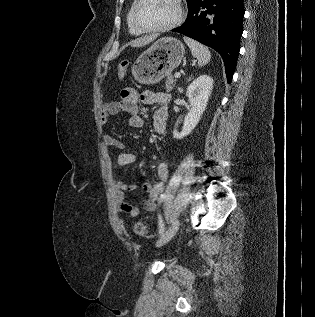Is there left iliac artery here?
Segmentation results:
<instances>
[{
    "label": "left iliac artery",
    "mask_w": 315,
    "mask_h": 317,
    "mask_svg": "<svg viewBox=\"0 0 315 317\" xmlns=\"http://www.w3.org/2000/svg\"><path fill=\"white\" fill-rule=\"evenodd\" d=\"M166 198V194H163L160 198V203ZM164 231V224L163 220L161 218V215H159V234H162Z\"/></svg>",
    "instance_id": "44dca946"
}]
</instances>
